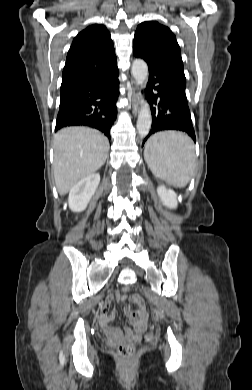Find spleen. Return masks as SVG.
Returning <instances> with one entry per match:
<instances>
[{
    "instance_id": "3e777b00",
    "label": "spleen",
    "mask_w": 252,
    "mask_h": 390,
    "mask_svg": "<svg viewBox=\"0 0 252 390\" xmlns=\"http://www.w3.org/2000/svg\"><path fill=\"white\" fill-rule=\"evenodd\" d=\"M144 158L156 177L173 186L185 187L194 169V145L183 133L160 132L148 140Z\"/></svg>"
}]
</instances>
